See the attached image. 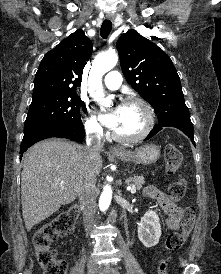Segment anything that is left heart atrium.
<instances>
[{"label": "left heart atrium", "mask_w": 221, "mask_h": 274, "mask_svg": "<svg viewBox=\"0 0 221 274\" xmlns=\"http://www.w3.org/2000/svg\"><path fill=\"white\" fill-rule=\"evenodd\" d=\"M119 107L112 108L108 113L102 115V120L106 126L114 129L118 122Z\"/></svg>", "instance_id": "obj_1"}]
</instances>
